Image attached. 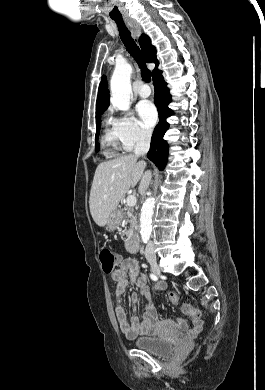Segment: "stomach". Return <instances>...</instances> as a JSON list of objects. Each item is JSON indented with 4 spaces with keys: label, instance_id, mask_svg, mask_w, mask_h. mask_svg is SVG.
<instances>
[{
    "label": "stomach",
    "instance_id": "stomach-1",
    "mask_svg": "<svg viewBox=\"0 0 265 390\" xmlns=\"http://www.w3.org/2000/svg\"><path fill=\"white\" fill-rule=\"evenodd\" d=\"M121 218L117 212H113L108 220V223L106 224V229L108 231L115 230L119 224H120Z\"/></svg>",
    "mask_w": 265,
    "mask_h": 390
}]
</instances>
